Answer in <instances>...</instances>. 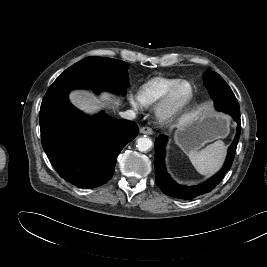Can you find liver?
Wrapping results in <instances>:
<instances>
[{
  "label": "liver",
  "mask_w": 267,
  "mask_h": 267,
  "mask_svg": "<svg viewBox=\"0 0 267 267\" xmlns=\"http://www.w3.org/2000/svg\"><path fill=\"white\" fill-rule=\"evenodd\" d=\"M70 100L77 108L86 113H94L98 111L102 106L114 107L119 105V99H115L109 93H103L101 99H97L92 93L80 90L72 91L70 93ZM192 114L193 113L182 116L179 122H184Z\"/></svg>",
  "instance_id": "obj_1"
}]
</instances>
